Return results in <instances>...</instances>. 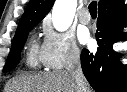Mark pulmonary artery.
Wrapping results in <instances>:
<instances>
[{"mask_svg":"<svg viewBox=\"0 0 127 92\" xmlns=\"http://www.w3.org/2000/svg\"><path fill=\"white\" fill-rule=\"evenodd\" d=\"M78 17H79V21L82 24H88L90 22V14L88 9L86 8H83L79 11Z\"/></svg>","mask_w":127,"mask_h":92,"instance_id":"pulmonary-artery-1","label":"pulmonary artery"}]
</instances>
